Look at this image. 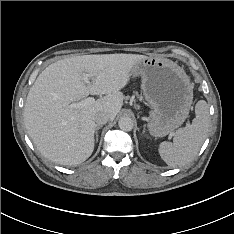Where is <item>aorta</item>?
<instances>
[{
  "instance_id": "obj_1",
  "label": "aorta",
  "mask_w": 234,
  "mask_h": 234,
  "mask_svg": "<svg viewBox=\"0 0 234 234\" xmlns=\"http://www.w3.org/2000/svg\"><path fill=\"white\" fill-rule=\"evenodd\" d=\"M119 128L123 131H131L133 129L134 123L130 117H122L118 122Z\"/></svg>"
}]
</instances>
